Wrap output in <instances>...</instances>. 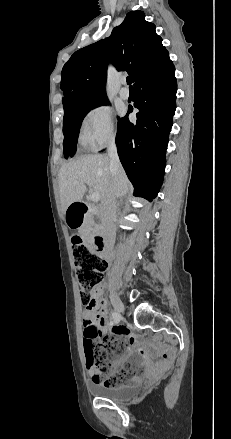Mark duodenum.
<instances>
[{"mask_svg": "<svg viewBox=\"0 0 231 439\" xmlns=\"http://www.w3.org/2000/svg\"><path fill=\"white\" fill-rule=\"evenodd\" d=\"M88 210V205L83 203L82 201H79L77 203H74L70 206L71 211V221L80 220L82 221L85 217V214ZM93 246L106 258L110 259L108 252L106 250L105 246V237L102 234H95L93 236L92 240Z\"/></svg>", "mask_w": 231, "mask_h": 439, "instance_id": "1", "label": "duodenum"}]
</instances>
